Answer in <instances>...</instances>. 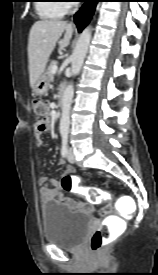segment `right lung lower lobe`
<instances>
[{"label": "right lung lower lobe", "mask_w": 158, "mask_h": 275, "mask_svg": "<svg viewBox=\"0 0 158 275\" xmlns=\"http://www.w3.org/2000/svg\"><path fill=\"white\" fill-rule=\"evenodd\" d=\"M98 1L99 0H85V4L80 11L75 14L74 20L79 32L88 25Z\"/></svg>", "instance_id": "98d812e1"}]
</instances>
